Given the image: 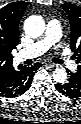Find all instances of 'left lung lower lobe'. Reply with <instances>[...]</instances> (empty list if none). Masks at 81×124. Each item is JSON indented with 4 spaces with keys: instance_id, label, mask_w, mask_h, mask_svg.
<instances>
[{
    "instance_id": "1",
    "label": "left lung lower lobe",
    "mask_w": 81,
    "mask_h": 124,
    "mask_svg": "<svg viewBox=\"0 0 81 124\" xmlns=\"http://www.w3.org/2000/svg\"><path fill=\"white\" fill-rule=\"evenodd\" d=\"M68 82L64 84H55L56 90L69 98L81 97V71L69 73Z\"/></svg>"
}]
</instances>
